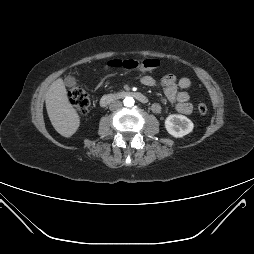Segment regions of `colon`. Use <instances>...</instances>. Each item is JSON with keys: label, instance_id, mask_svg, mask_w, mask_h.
<instances>
[{"label": "colon", "instance_id": "colon-1", "mask_svg": "<svg viewBox=\"0 0 254 254\" xmlns=\"http://www.w3.org/2000/svg\"><path fill=\"white\" fill-rule=\"evenodd\" d=\"M109 65L117 68H125L139 71L154 70L159 67L160 62L157 59L146 58L142 60H112ZM70 101L77 112L85 115L89 112L91 107V98L88 92L79 84H74L69 91ZM197 110L201 115H205L208 111L204 103L197 106Z\"/></svg>", "mask_w": 254, "mask_h": 254}]
</instances>
